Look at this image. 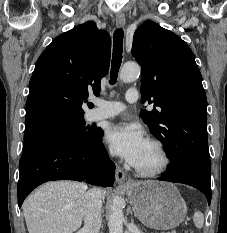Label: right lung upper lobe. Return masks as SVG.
Wrapping results in <instances>:
<instances>
[{
	"mask_svg": "<svg viewBox=\"0 0 227 233\" xmlns=\"http://www.w3.org/2000/svg\"><path fill=\"white\" fill-rule=\"evenodd\" d=\"M111 40L88 21L56 37L36 62L29 83L25 135L83 117L88 93L98 94L110 64Z\"/></svg>",
	"mask_w": 227,
	"mask_h": 233,
	"instance_id": "1",
	"label": "right lung upper lobe"
}]
</instances>
